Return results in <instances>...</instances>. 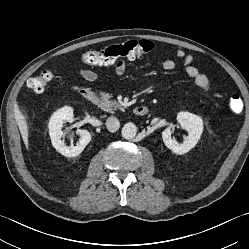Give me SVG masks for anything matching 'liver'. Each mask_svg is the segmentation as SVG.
<instances>
[{
	"instance_id": "obj_1",
	"label": "liver",
	"mask_w": 249,
	"mask_h": 249,
	"mask_svg": "<svg viewBox=\"0 0 249 249\" xmlns=\"http://www.w3.org/2000/svg\"><path fill=\"white\" fill-rule=\"evenodd\" d=\"M15 118H16L19 130H20V133L22 135L23 141L26 147H28V125H27L25 116L21 113L18 107H16L15 109Z\"/></svg>"
}]
</instances>
